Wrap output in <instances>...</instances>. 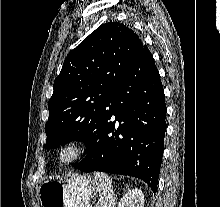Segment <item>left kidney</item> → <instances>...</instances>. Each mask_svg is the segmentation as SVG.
<instances>
[{"label":"left kidney","instance_id":"left-kidney-1","mask_svg":"<svg viewBox=\"0 0 220 207\" xmlns=\"http://www.w3.org/2000/svg\"><path fill=\"white\" fill-rule=\"evenodd\" d=\"M118 207H144V194L138 189L128 190L121 198Z\"/></svg>","mask_w":220,"mask_h":207}]
</instances>
